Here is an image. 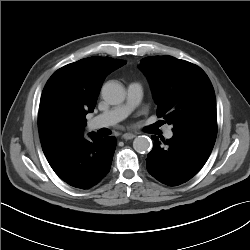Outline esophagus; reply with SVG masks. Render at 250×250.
Wrapping results in <instances>:
<instances>
[{"instance_id":"esophagus-1","label":"esophagus","mask_w":250,"mask_h":250,"mask_svg":"<svg viewBox=\"0 0 250 250\" xmlns=\"http://www.w3.org/2000/svg\"><path fill=\"white\" fill-rule=\"evenodd\" d=\"M135 136L136 135L133 133H125V134H123L122 138L125 140H131V139L135 138Z\"/></svg>"}]
</instances>
